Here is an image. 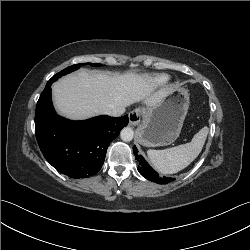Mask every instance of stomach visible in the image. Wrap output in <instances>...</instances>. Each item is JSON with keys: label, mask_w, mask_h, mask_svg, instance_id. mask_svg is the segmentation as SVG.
I'll list each match as a JSON object with an SVG mask.
<instances>
[{"label": "stomach", "mask_w": 250, "mask_h": 250, "mask_svg": "<svg viewBox=\"0 0 250 250\" xmlns=\"http://www.w3.org/2000/svg\"><path fill=\"white\" fill-rule=\"evenodd\" d=\"M189 104L188 91L175 88L158 104L148 107L137 129L138 142L147 147L173 143L180 135Z\"/></svg>", "instance_id": "0dacf381"}]
</instances>
